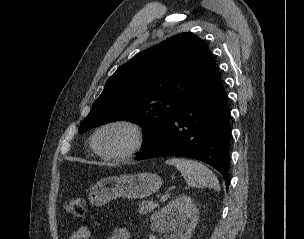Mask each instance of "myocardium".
I'll return each instance as SVG.
<instances>
[{
	"instance_id": "obj_1",
	"label": "myocardium",
	"mask_w": 304,
	"mask_h": 239,
	"mask_svg": "<svg viewBox=\"0 0 304 239\" xmlns=\"http://www.w3.org/2000/svg\"><path fill=\"white\" fill-rule=\"evenodd\" d=\"M112 127H122L127 129L131 133L132 141L131 144L125 150L118 153L109 154L100 150V148L97 145V138L102 131ZM144 142H145V131L141 124L131 119L119 118V119L109 120L98 126L91 136L90 145L92 150L99 157L105 160L123 161L137 154L143 147Z\"/></svg>"
}]
</instances>
